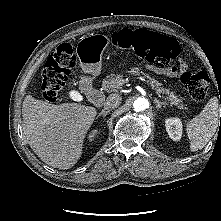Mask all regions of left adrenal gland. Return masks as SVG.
Masks as SVG:
<instances>
[{
	"mask_svg": "<svg viewBox=\"0 0 221 221\" xmlns=\"http://www.w3.org/2000/svg\"><path fill=\"white\" fill-rule=\"evenodd\" d=\"M154 102L156 104L157 110H159L160 108L165 107V103L164 102H160L159 100H157L156 98L154 99Z\"/></svg>",
	"mask_w": 221,
	"mask_h": 221,
	"instance_id": "1",
	"label": "left adrenal gland"
}]
</instances>
